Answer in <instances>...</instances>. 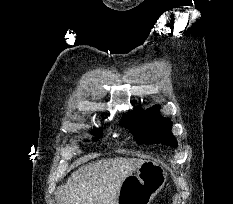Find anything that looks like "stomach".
Returning a JSON list of instances; mask_svg holds the SVG:
<instances>
[{
	"label": "stomach",
	"mask_w": 233,
	"mask_h": 204,
	"mask_svg": "<svg viewBox=\"0 0 233 204\" xmlns=\"http://www.w3.org/2000/svg\"><path fill=\"white\" fill-rule=\"evenodd\" d=\"M167 173L160 163L145 160L135 175L124 179L116 204H150L164 187Z\"/></svg>",
	"instance_id": "stomach-1"
}]
</instances>
